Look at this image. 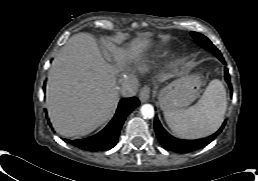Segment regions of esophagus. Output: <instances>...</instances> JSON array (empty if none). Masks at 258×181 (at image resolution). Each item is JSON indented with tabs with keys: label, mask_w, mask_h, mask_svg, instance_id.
<instances>
[{
	"label": "esophagus",
	"mask_w": 258,
	"mask_h": 181,
	"mask_svg": "<svg viewBox=\"0 0 258 181\" xmlns=\"http://www.w3.org/2000/svg\"><path fill=\"white\" fill-rule=\"evenodd\" d=\"M150 98V88L149 86H144L140 93H139V99L142 103L147 102Z\"/></svg>",
	"instance_id": "esophagus-1"
}]
</instances>
